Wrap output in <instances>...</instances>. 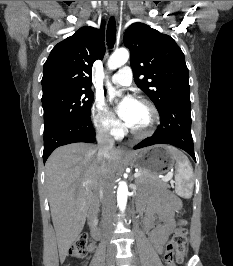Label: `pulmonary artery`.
I'll list each match as a JSON object with an SVG mask.
<instances>
[{
	"instance_id": "pulmonary-artery-1",
	"label": "pulmonary artery",
	"mask_w": 233,
	"mask_h": 266,
	"mask_svg": "<svg viewBox=\"0 0 233 266\" xmlns=\"http://www.w3.org/2000/svg\"><path fill=\"white\" fill-rule=\"evenodd\" d=\"M111 82L120 85L128 86L132 82V70L129 66L122 67L117 73L113 74L110 78Z\"/></svg>"
}]
</instances>
